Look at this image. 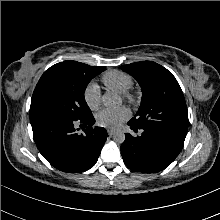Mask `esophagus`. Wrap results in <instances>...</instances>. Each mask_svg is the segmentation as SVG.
Masks as SVG:
<instances>
[{
    "label": "esophagus",
    "instance_id": "esophagus-1",
    "mask_svg": "<svg viewBox=\"0 0 220 220\" xmlns=\"http://www.w3.org/2000/svg\"><path fill=\"white\" fill-rule=\"evenodd\" d=\"M107 132H108V135L110 136H112L115 133L113 129H108Z\"/></svg>",
    "mask_w": 220,
    "mask_h": 220
}]
</instances>
